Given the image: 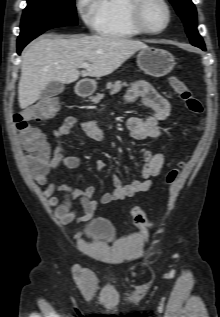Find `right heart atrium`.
Instances as JSON below:
<instances>
[{"label":"right heart atrium","mask_w":220,"mask_h":317,"mask_svg":"<svg viewBox=\"0 0 220 317\" xmlns=\"http://www.w3.org/2000/svg\"><path fill=\"white\" fill-rule=\"evenodd\" d=\"M74 5L82 22L90 29H96L97 0H75Z\"/></svg>","instance_id":"d8ad5b80"}]
</instances>
